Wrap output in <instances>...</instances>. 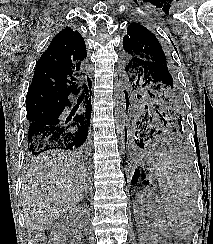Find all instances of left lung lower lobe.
I'll list each match as a JSON object with an SVG mask.
<instances>
[{
  "label": "left lung lower lobe",
  "instance_id": "1",
  "mask_svg": "<svg viewBox=\"0 0 213 244\" xmlns=\"http://www.w3.org/2000/svg\"><path fill=\"white\" fill-rule=\"evenodd\" d=\"M126 110L129 123L127 129L125 126V135L126 141L131 150L138 151L145 149L150 142H153L156 138H159V136L164 133V130L161 129L156 122H154L152 117L150 118L147 115L140 113L138 110L131 108L130 106H126ZM139 120H141V122Z\"/></svg>",
  "mask_w": 213,
  "mask_h": 244
}]
</instances>
